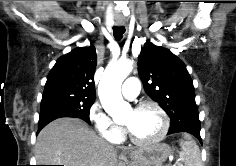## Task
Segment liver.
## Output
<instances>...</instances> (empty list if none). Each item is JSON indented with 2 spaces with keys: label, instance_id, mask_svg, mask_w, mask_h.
<instances>
[{
  "label": "liver",
  "instance_id": "liver-1",
  "mask_svg": "<svg viewBox=\"0 0 236 166\" xmlns=\"http://www.w3.org/2000/svg\"><path fill=\"white\" fill-rule=\"evenodd\" d=\"M118 150L97 136L84 121L59 118L38 134L35 158L37 165L118 166ZM137 153L133 151L130 155Z\"/></svg>",
  "mask_w": 236,
  "mask_h": 166
}]
</instances>
